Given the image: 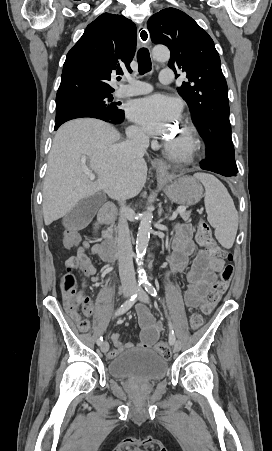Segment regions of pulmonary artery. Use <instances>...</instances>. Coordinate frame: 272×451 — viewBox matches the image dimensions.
<instances>
[{
  "instance_id": "obj_1",
  "label": "pulmonary artery",
  "mask_w": 272,
  "mask_h": 451,
  "mask_svg": "<svg viewBox=\"0 0 272 451\" xmlns=\"http://www.w3.org/2000/svg\"><path fill=\"white\" fill-rule=\"evenodd\" d=\"M174 77L173 70L169 66H164L159 72V80L162 83H170ZM152 90L151 86H147V82L141 79L133 80L132 84H126L124 89H119L114 93L117 98H124L136 95H142L150 92Z\"/></svg>"
}]
</instances>
